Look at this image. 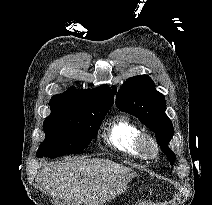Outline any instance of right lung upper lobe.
I'll return each instance as SVG.
<instances>
[{"instance_id":"right-lung-upper-lobe-1","label":"right lung upper lobe","mask_w":212,"mask_h":205,"mask_svg":"<svg viewBox=\"0 0 212 205\" xmlns=\"http://www.w3.org/2000/svg\"><path fill=\"white\" fill-rule=\"evenodd\" d=\"M114 96L108 85L96 89L79 91L70 89L62 94L54 95L50 100V116H58L67 110L76 108H90L98 106H112Z\"/></svg>"}]
</instances>
